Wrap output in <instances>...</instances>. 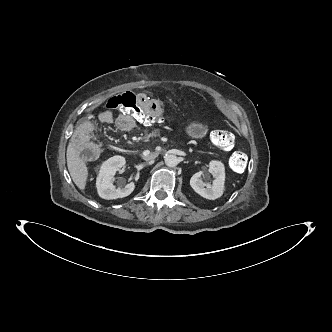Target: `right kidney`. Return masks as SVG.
I'll return each instance as SVG.
<instances>
[{
	"mask_svg": "<svg viewBox=\"0 0 332 332\" xmlns=\"http://www.w3.org/2000/svg\"><path fill=\"white\" fill-rule=\"evenodd\" d=\"M125 163V158L118 155L109 158L102 164L96 180L97 192L101 198L107 200L124 198L134 191L135 184L133 182H130L123 188L117 189H115L112 183L114 175Z\"/></svg>",
	"mask_w": 332,
	"mask_h": 332,
	"instance_id": "right-kidney-1",
	"label": "right kidney"
}]
</instances>
